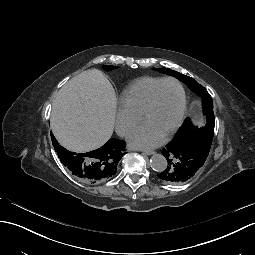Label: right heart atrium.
I'll use <instances>...</instances> for the list:
<instances>
[{
    "mask_svg": "<svg viewBox=\"0 0 255 255\" xmlns=\"http://www.w3.org/2000/svg\"><path fill=\"white\" fill-rule=\"evenodd\" d=\"M138 121L139 115L120 106L115 109V127L120 136H127Z\"/></svg>",
    "mask_w": 255,
    "mask_h": 255,
    "instance_id": "1",
    "label": "right heart atrium"
}]
</instances>
